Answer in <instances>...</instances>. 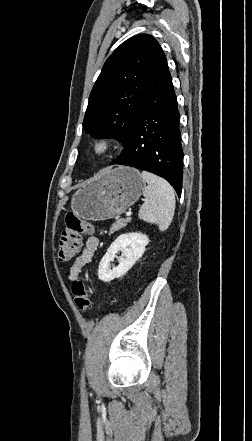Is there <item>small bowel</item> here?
I'll use <instances>...</instances> for the list:
<instances>
[{"label": "small bowel", "mask_w": 252, "mask_h": 441, "mask_svg": "<svg viewBox=\"0 0 252 441\" xmlns=\"http://www.w3.org/2000/svg\"><path fill=\"white\" fill-rule=\"evenodd\" d=\"M98 244V238L94 236H91L86 240L81 252L70 268L69 277L71 279H75L81 273L82 269L91 261L98 248Z\"/></svg>", "instance_id": "obj_1"}]
</instances>
